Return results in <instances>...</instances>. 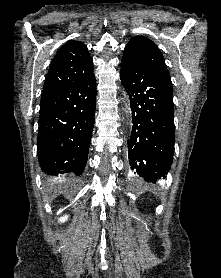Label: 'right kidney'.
<instances>
[{
	"mask_svg": "<svg viewBox=\"0 0 221 278\" xmlns=\"http://www.w3.org/2000/svg\"><path fill=\"white\" fill-rule=\"evenodd\" d=\"M68 219V216L65 215L59 219L60 222H65Z\"/></svg>",
	"mask_w": 221,
	"mask_h": 278,
	"instance_id": "1",
	"label": "right kidney"
}]
</instances>
